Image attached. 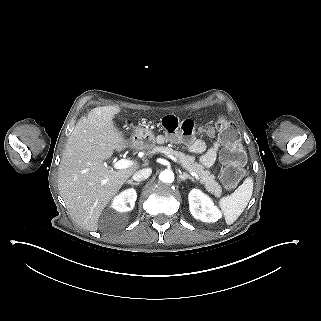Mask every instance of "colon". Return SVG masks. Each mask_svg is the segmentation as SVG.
I'll use <instances>...</instances> for the list:
<instances>
[{
    "label": "colon",
    "mask_w": 321,
    "mask_h": 321,
    "mask_svg": "<svg viewBox=\"0 0 321 321\" xmlns=\"http://www.w3.org/2000/svg\"><path fill=\"white\" fill-rule=\"evenodd\" d=\"M159 124L167 132H181L186 137H192L201 130H218L225 143V147L220 153V159L224 165L221 174L223 183L231 188L243 176L245 153L236 128L224 115L220 114L210 119L203 129L198 127L193 119H180L175 115L164 116L160 119Z\"/></svg>",
    "instance_id": "1"
}]
</instances>
